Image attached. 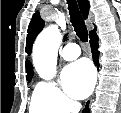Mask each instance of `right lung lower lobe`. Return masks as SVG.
<instances>
[{"label": "right lung lower lobe", "mask_w": 121, "mask_h": 113, "mask_svg": "<svg viewBox=\"0 0 121 113\" xmlns=\"http://www.w3.org/2000/svg\"><path fill=\"white\" fill-rule=\"evenodd\" d=\"M89 36H90V46H91V51H92V55H93V61H94L95 65L97 67H99L98 36L96 34V30L94 32H92L91 34H89ZM88 104H89V102L87 103V105L84 109L85 113H89Z\"/></svg>", "instance_id": "1"}]
</instances>
